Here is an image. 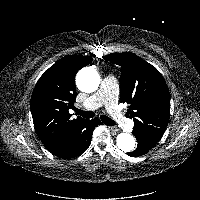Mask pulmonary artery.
Masks as SVG:
<instances>
[{
    "label": "pulmonary artery",
    "instance_id": "pulmonary-artery-1",
    "mask_svg": "<svg viewBox=\"0 0 200 200\" xmlns=\"http://www.w3.org/2000/svg\"><path fill=\"white\" fill-rule=\"evenodd\" d=\"M118 92V80L113 76H106L102 79L99 90L85 101L84 107L96 109L105 106L113 119L121 126L126 127L131 124V121L116 111Z\"/></svg>",
    "mask_w": 200,
    "mask_h": 200
}]
</instances>
